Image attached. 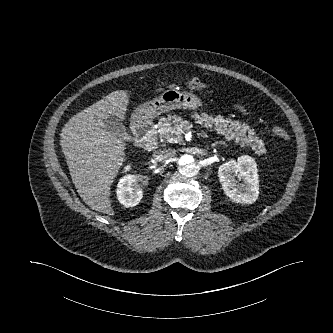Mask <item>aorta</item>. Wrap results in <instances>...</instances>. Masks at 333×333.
Instances as JSON below:
<instances>
[{"instance_id":"obj_1","label":"aorta","mask_w":333,"mask_h":333,"mask_svg":"<svg viewBox=\"0 0 333 333\" xmlns=\"http://www.w3.org/2000/svg\"><path fill=\"white\" fill-rule=\"evenodd\" d=\"M178 171L186 177H193L198 173V165L195 158L189 154H181L178 159Z\"/></svg>"}]
</instances>
